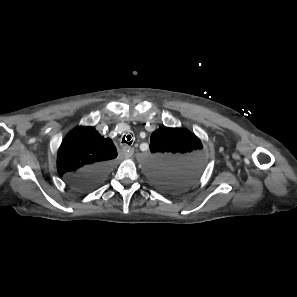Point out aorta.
I'll return each instance as SVG.
<instances>
[{
    "label": "aorta",
    "mask_w": 297,
    "mask_h": 297,
    "mask_svg": "<svg viewBox=\"0 0 297 297\" xmlns=\"http://www.w3.org/2000/svg\"><path fill=\"white\" fill-rule=\"evenodd\" d=\"M151 168H152V159L150 157V159H149V165H148L149 176H151Z\"/></svg>",
    "instance_id": "1"
}]
</instances>
